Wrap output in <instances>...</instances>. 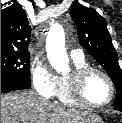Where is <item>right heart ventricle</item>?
Returning <instances> with one entry per match:
<instances>
[{"mask_svg": "<svg viewBox=\"0 0 122 123\" xmlns=\"http://www.w3.org/2000/svg\"><path fill=\"white\" fill-rule=\"evenodd\" d=\"M75 70L90 66L87 60L83 57L80 59H72ZM68 77H61L59 78L58 82V90L56 96L58 97L59 101L65 105L76 106L79 105L74 100L71 99L68 93Z\"/></svg>", "mask_w": 122, "mask_h": 123, "instance_id": "1", "label": "right heart ventricle"}]
</instances>
